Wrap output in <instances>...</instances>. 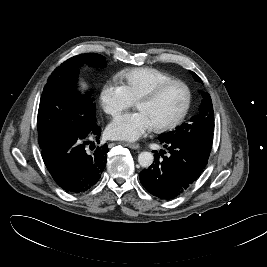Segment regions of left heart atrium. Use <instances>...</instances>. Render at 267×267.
I'll return each instance as SVG.
<instances>
[{
    "instance_id": "39dd6f15",
    "label": "left heart atrium",
    "mask_w": 267,
    "mask_h": 267,
    "mask_svg": "<svg viewBox=\"0 0 267 267\" xmlns=\"http://www.w3.org/2000/svg\"><path fill=\"white\" fill-rule=\"evenodd\" d=\"M151 128L146 116L137 111L117 117L110 123L107 132L114 139L135 141Z\"/></svg>"
}]
</instances>
